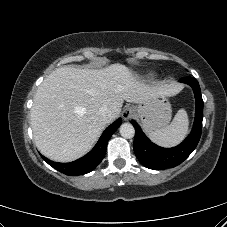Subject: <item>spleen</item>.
<instances>
[{"instance_id":"spleen-1","label":"spleen","mask_w":227,"mask_h":227,"mask_svg":"<svg viewBox=\"0 0 227 227\" xmlns=\"http://www.w3.org/2000/svg\"><path fill=\"white\" fill-rule=\"evenodd\" d=\"M189 119L186 111L180 109L170 125L152 131L150 139L164 147L175 146L180 143L188 132Z\"/></svg>"}]
</instances>
